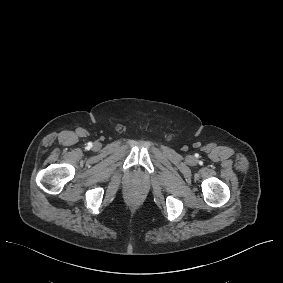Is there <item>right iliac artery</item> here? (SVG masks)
Returning <instances> with one entry per match:
<instances>
[{
    "instance_id": "1",
    "label": "right iliac artery",
    "mask_w": 283,
    "mask_h": 283,
    "mask_svg": "<svg viewBox=\"0 0 283 283\" xmlns=\"http://www.w3.org/2000/svg\"><path fill=\"white\" fill-rule=\"evenodd\" d=\"M89 146L91 147V146H92V143H89Z\"/></svg>"
}]
</instances>
